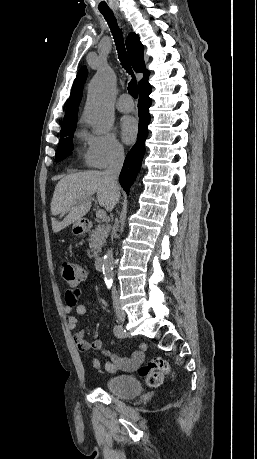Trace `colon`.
I'll return each mask as SVG.
<instances>
[{
    "label": "colon",
    "mask_w": 257,
    "mask_h": 459,
    "mask_svg": "<svg viewBox=\"0 0 257 459\" xmlns=\"http://www.w3.org/2000/svg\"><path fill=\"white\" fill-rule=\"evenodd\" d=\"M60 273L64 281L69 285H75L84 279V270L73 262H63ZM172 374L170 364L162 358H152L148 363L138 368V375L144 378L150 387H158L162 384L164 376Z\"/></svg>",
    "instance_id": "1"
}]
</instances>
